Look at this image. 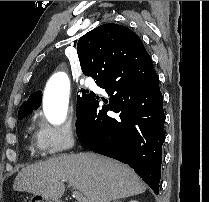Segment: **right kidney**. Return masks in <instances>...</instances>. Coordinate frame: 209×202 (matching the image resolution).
<instances>
[{
	"instance_id": "1",
	"label": "right kidney",
	"mask_w": 209,
	"mask_h": 202,
	"mask_svg": "<svg viewBox=\"0 0 209 202\" xmlns=\"http://www.w3.org/2000/svg\"><path fill=\"white\" fill-rule=\"evenodd\" d=\"M114 202H122V201H114ZM129 202H138V201H136V200H131V201H129Z\"/></svg>"
}]
</instances>
